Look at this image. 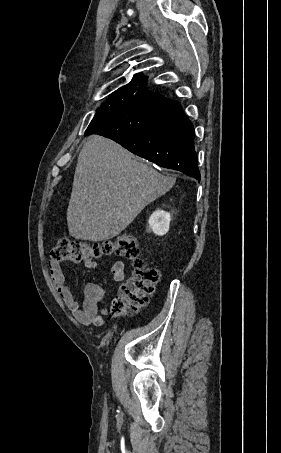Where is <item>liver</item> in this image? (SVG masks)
<instances>
[{"label":"liver","instance_id":"obj_1","mask_svg":"<svg viewBox=\"0 0 281 453\" xmlns=\"http://www.w3.org/2000/svg\"><path fill=\"white\" fill-rule=\"evenodd\" d=\"M152 166L104 136L91 134L83 144L67 208L68 231L81 241H108L175 184Z\"/></svg>","mask_w":281,"mask_h":453}]
</instances>
